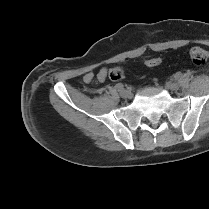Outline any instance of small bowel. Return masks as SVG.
Listing matches in <instances>:
<instances>
[{
  "instance_id": "obj_1",
  "label": "small bowel",
  "mask_w": 209,
  "mask_h": 209,
  "mask_svg": "<svg viewBox=\"0 0 209 209\" xmlns=\"http://www.w3.org/2000/svg\"><path fill=\"white\" fill-rule=\"evenodd\" d=\"M108 75V69L107 68H102L96 75V79L100 82L104 81ZM95 76L93 73L89 72L84 75L83 80L87 83L94 81Z\"/></svg>"
}]
</instances>
